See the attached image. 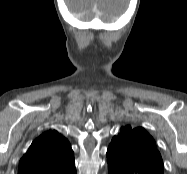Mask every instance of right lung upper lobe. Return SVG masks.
I'll list each match as a JSON object with an SVG mask.
<instances>
[{
  "label": "right lung upper lobe",
  "mask_w": 187,
  "mask_h": 174,
  "mask_svg": "<svg viewBox=\"0 0 187 174\" xmlns=\"http://www.w3.org/2000/svg\"><path fill=\"white\" fill-rule=\"evenodd\" d=\"M70 143L56 131L36 138L19 163L18 174H74Z\"/></svg>",
  "instance_id": "cb5924a9"
}]
</instances>
